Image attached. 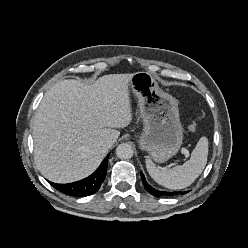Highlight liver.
I'll return each instance as SVG.
<instances>
[{
  "mask_svg": "<svg viewBox=\"0 0 248 248\" xmlns=\"http://www.w3.org/2000/svg\"><path fill=\"white\" fill-rule=\"evenodd\" d=\"M133 74H109L93 84L61 80L43 96L33 120L34 155L41 174L71 183L93 173L132 121L129 82Z\"/></svg>",
  "mask_w": 248,
  "mask_h": 248,
  "instance_id": "6515ba94",
  "label": "liver"
}]
</instances>
